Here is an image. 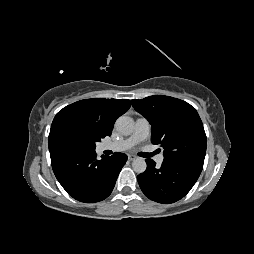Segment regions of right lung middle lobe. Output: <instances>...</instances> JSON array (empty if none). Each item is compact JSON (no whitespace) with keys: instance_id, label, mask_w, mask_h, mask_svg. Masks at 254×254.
I'll use <instances>...</instances> for the list:
<instances>
[{"instance_id":"dd1d6c3e","label":"right lung middle lobe","mask_w":254,"mask_h":254,"mask_svg":"<svg viewBox=\"0 0 254 254\" xmlns=\"http://www.w3.org/2000/svg\"><path fill=\"white\" fill-rule=\"evenodd\" d=\"M65 139L71 148L85 151H95V143L101 141L95 132L80 126L70 127L65 133Z\"/></svg>"}]
</instances>
